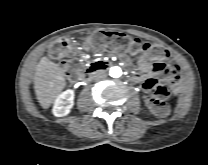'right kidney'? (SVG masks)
<instances>
[{"label": "right kidney", "mask_w": 208, "mask_h": 165, "mask_svg": "<svg viewBox=\"0 0 208 165\" xmlns=\"http://www.w3.org/2000/svg\"><path fill=\"white\" fill-rule=\"evenodd\" d=\"M74 91L68 89L61 93L55 100L52 113L56 117H62L69 114L70 109L74 105Z\"/></svg>", "instance_id": "ca27d5eb"}]
</instances>
